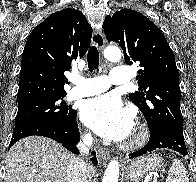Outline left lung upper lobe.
Instances as JSON below:
<instances>
[{"instance_id":"1","label":"left lung upper lobe","mask_w":196,"mask_h":182,"mask_svg":"<svg viewBox=\"0 0 196 182\" xmlns=\"http://www.w3.org/2000/svg\"><path fill=\"white\" fill-rule=\"evenodd\" d=\"M108 42L123 49L125 63L139 64V90L129 95L143 113L150 132L160 127L183 133L181 92L175 58L162 31L143 14L121 9L103 23Z\"/></svg>"}]
</instances>
